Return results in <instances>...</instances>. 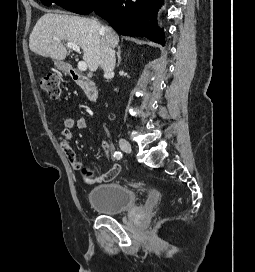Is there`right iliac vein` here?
<instances>
[{
  "mask_svg": "<svg viewBox=\"0 0 255 272\" xmlns=\"http://www.w3.org/2000/svg\"><path fill=\"white\" fill-rule=\"evenodd\" d=\"M119 146H120L121 150L126 153H130L132 151L131 144L124 138H121L119 140Z\"/></svg>",
  "mask_w": 255,
  "mask_h": 272,
  "instance_id": "63e3f726",
  "label": "right iliac vein"
}]
</instances>
